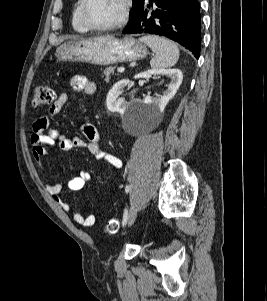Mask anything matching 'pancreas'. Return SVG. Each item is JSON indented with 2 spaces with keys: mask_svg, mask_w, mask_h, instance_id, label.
I'll return each instance as SVG.
<instances>
[{
  "mask_svg": "<svg viewBox=\"0 0 267 301\" xmlns=\"http://www.w3.org/2000/svg\"><path fill=\"white\" fill-rule=\"evenodd\" d=\"M114 69H115V67L110 66V67H107V68L103 71L104 75L106 76V77H105V81H106V82H108V81L110 80V75L114 73Z\"/></svg>",
  "mask_w": 267,
  "mask_h": 301,
  "instance_id": "pancreas-1",
  "label": "pancreas"
}]
</instances>
